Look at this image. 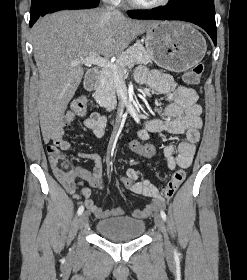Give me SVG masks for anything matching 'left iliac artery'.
<instances>
[{
	"instance_id": "obj_1",
	"label": "left iliac artery",
	"mask_w": 247,
	"mask_h": 280,
	"mask_svg": "<svg viewBox=\"0 0 247 280\" xmlns=\"http://www.w3.org/2000/svg\"><path fill=\"white\" fill-rule=\"evenodd\" d=\"M160 214H161V217L163 218V220L166 221V219H167L166 213L163 210H161Z\"/></svg>"
}]
</instances>
